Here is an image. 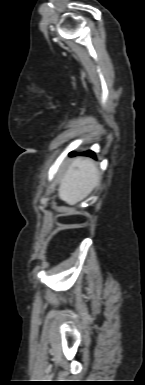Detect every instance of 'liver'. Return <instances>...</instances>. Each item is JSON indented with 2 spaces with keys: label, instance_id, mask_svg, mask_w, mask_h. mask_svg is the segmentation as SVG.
Instances as JSON below:
<instances>
[{
  "label": "liver",
  "instance_id": "6515ba94",
  "mask_svg": "<svg viewBox=\"0 0 145 385\" xmlns=\"http://www.w3.org/2000/svg\"><path fill=\"white\" fill-rule=\"evenodd\" d=\"M100 182V172L90 158L77 157L60 179L58 196L69 205L85 199Z\"/></svg>",
  "mask_w": 145,
  "mask_h": 385
}]
</instances>
